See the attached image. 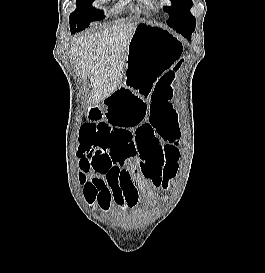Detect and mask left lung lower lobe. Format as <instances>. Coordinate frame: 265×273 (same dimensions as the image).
<instances>
[{"instance_id":"obj_1","label":"left lung lower lobe","mask_w":265,"mask_h":273,"mask_svg":"<svg viewBox=\"0 0 265 273\" xmlns=\"http://www.w3.org/2000/svg\"><path fill=\"white\" fill-rule=\"evenodd\" d=\"M194 28L195 27L193 26V27H190L189 29H181L176 31L189 40L191 39V33L194 31Z\"/></svg>"}]
</instances>
